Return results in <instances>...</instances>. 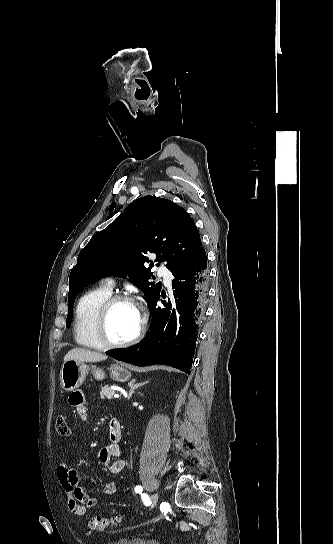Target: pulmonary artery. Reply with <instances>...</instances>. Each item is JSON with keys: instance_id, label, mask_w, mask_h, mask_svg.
<instances>
[{"instance_id": "pulmonary-artery-1", "label": "pulmonary artery", "mask_w": 333, "mask_h": 544, "mask_svg": "<svg viewBox=\"0 0 333 544\" xmlns=\"http://www.w3.org/2000/svg\"><path fill=\"white\" fill-rule=\"evenodd\" d=\"M158 273L160 276H162L165 280V283L166 285H170L171 284V273L169 272V270L166 268V267H160L159 270H158ZM104 285L109 288V289H113L114 287V281L111 279V278H107L105 281H104Z\"/></svg>"}]
</instances>
